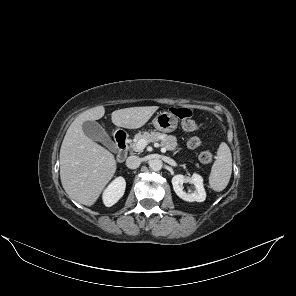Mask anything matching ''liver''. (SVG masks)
Returning a JSON list of instances; mask_svg holds the SVG:
<instances>
[{
	"instance_id": "1",
	"label": "liver",
	"mask_w": 296,
	"mask_h": 296,
	"mask_svg": "<svg viewBox=\"0 0 296 296\" xmlns=\"http://www.w3.org/2000/svg\"><path fill=\"white\" fill-rule=\"evenodd\" d=\"M158 106L130 107L115 110L111 120L117 127L137 129L145 125ZM103 106L84 111L68 128L60 149V178L69 198L92 206L113 178L117 163L114 155L87 137L82 129L85 121L101 119Z\"/></svg>"
}]
</instances>
